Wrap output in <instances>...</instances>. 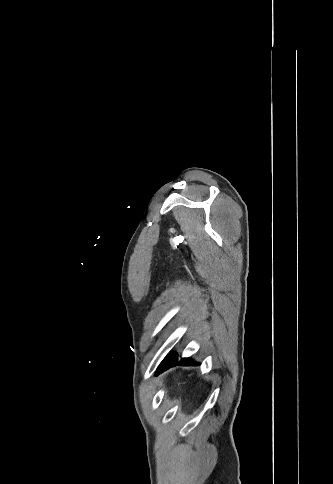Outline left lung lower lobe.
Returning <instances> with one entry per match:
<instances>
[{
    "label": "left lung lower lobe",
    "mask_w": 333,
    "mask_h": 484,
    "mask_svg": "<svg viewBox=\"0 0 333 484\" xmlns=\"http://www.w3.org/2000/svg\"><path fill=\"white\" fill-rule=\"evenodd\" d=\"M178 355L176 353H170L162 362L161 364L159 365L158 369H157V372L158 371H164L166 369H168L169 367H172V366H175V365H178V364H181V365H196L197 363H195L193 360H191L190 358H182L179 362H178Z\"/></svg>",
    "instance_id": "left-lung-lower-lobe-1"
}]
</instances>
